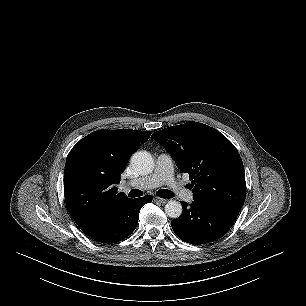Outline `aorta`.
I'll return each mask as SVG.
<instances>
[{"label": "aorta", "mask_w": 306, "mask_h": 306, "mask_svg": "<svg viewBox=\"0 0 306 306\" xmlns=\"http://www.w3.org/2000/svg\"><path fill=\"white\" fill-rule=\"evenodd\" d=\"M131 165L135 171L141 175H148L153 171L154 160L152 156L145 151L135 152L131 157ZM165 213L170 218H178L182 214V205L180 202L170 200L165 205Z\"/></svg>", "instance_id": "aorta-1"}]
</instances>
